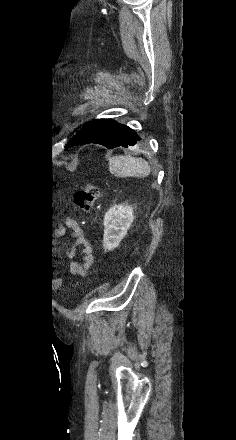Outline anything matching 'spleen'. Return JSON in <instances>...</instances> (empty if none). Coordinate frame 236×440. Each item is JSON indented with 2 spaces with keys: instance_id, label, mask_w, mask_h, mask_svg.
<instances>
[{
  "instance_id": "spleen-1",
  "label": "spleen",
  "mask_w": 236,
  "mask_h": 440,
  "mask_svg": "<svg viewBox=\"0 0 236 440\" xmlns=\"http://www.w3.org/2000/svg\"><path fill=\"white\" fill-rule=\"evenodd\" d=\"M109 170L120 177H147L151 168L148 162L140 157L120 155L109 160Z\"/></svg>"
}]
</instances>
